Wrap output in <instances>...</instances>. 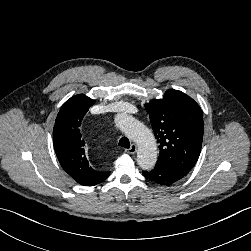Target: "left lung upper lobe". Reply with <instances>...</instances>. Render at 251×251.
Returning <instances> with one entry per match:
<instances>
[{
    "mask_svg": "<svg viewBox=\"0 0 251 251\" xmlns=\"http://www.w3.org/2000/svg\"><path fill=\"white\" fill-rule=\"evenodd\" d=\"M157 138L158 165L188 173L196 164L203 140V115L199 105L181 91L169 89L162 99L145 104Z\"/></svg>",
    "mask_w": 251,
    "mask_h": 251,
    "instance_id": "obj_1",
    "label": "left lung upper lobe"
}]
</instances>
